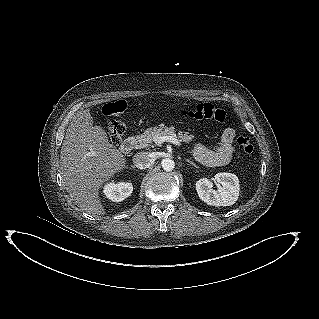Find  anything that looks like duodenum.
Here are the masks:
<instances>
[{"label": "duodenum", "mask_w": 319, "mask_h": 319, "mask_svg": "<svg viewBox=\"0 0 319 319\" xmlns=\"http://www.w3.org/2000/svg\"><path fill=\"white\" fill-rule=\"evenodd\" d=\"M133 147H134V140H133V138L129 137V138H126L120 144L119 150L123 154H128L133 150Z\"/></svg>", "instance_id": "410a0bca"}]
</instances>
